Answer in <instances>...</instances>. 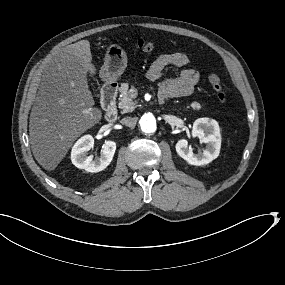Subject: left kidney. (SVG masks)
Instances as JSON below:
<instances>
[{"label": "left kidney", "mask_w": 285, "mask_h": 285, "mask_svg": "<svg viewBox=\"0 0 285 285\" xmlns=\"http://www.w3.org/2000/svg\"><path fill=\"white\" fill-rule=\"evenodd\" d=\"M192 137L198 138L201 144H206V150L200 155H195L188 148V140L181 138L177 141L175 149L177 154L188 164L203 166L215 160L220 153L221 135L218 123L210 118L197 119L191 129Z\"/></svg>", "instance_id": "1"}]
</instances>
